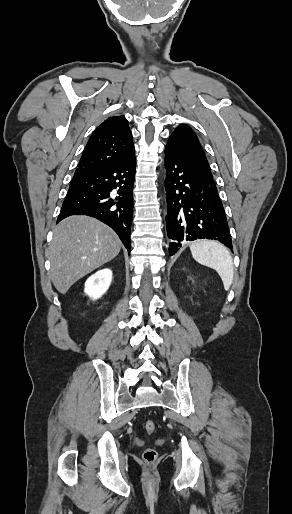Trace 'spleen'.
Returning a JSON list of instances; mask_svg holds the SVG:
<instances>
[{"label": "spleen", "mask_w": 292, "mask_h": 514, "mask_svg": "<svg viewBox=\"0 0 292 514\" xmlns=\"http://www.w3.org/2000/svg\"><path fill=\"white\" fill-rule=\"evenodd\" d=\"M190 250L196 262L218 272L225 290H229L234 278V268L227 248L213 240H196L190 244Z\"/></svg>", "instance_id": "3e777b00"}]
</instances>
